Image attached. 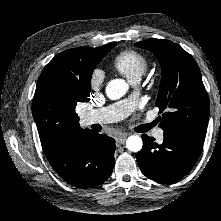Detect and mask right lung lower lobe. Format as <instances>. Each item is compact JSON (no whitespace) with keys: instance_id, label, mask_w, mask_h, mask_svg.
Masks as SVG:
<instances>
[{"instance_id":"right-lung-lower-lobe-1","label":"right lung lower lobe","mask_w":221,"mask_h":221,"mask_svg":"<svg viewBox=\"0 0 221 221\" xmlns=\"http://www.w3.org/2000/svg\"><path fill=\"white\" fill-rule=\"evenodd\" d=\"M115 140L91 130L73 131L45 153L57 174L77 188L103 184L115 164Z\"/></svg>"}]
</instances>
